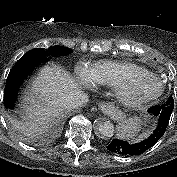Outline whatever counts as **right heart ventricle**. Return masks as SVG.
<instances>
[{"label":"right heart ventricle","mask_w":177,"mask_h":177,"mask_svg":"<svg viewBox=\"0 0 177 177\" xmlns=\"http://www.w3.org/2000/svg\"><path fill=\"white\" fill-rule=\"evenodd\" d=\"M99 82L115 88L121 78L127 74H140L149 72L146 68L130 62L103 61L95 65Z\"/></svg>","instance_id":"1"}]
</instances>
